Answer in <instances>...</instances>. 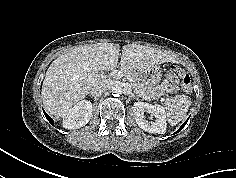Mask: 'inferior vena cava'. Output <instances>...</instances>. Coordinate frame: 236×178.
Wrapping results in <instances>:
<instances>
[{"label":"inferior vena cava","instance_id":"1","mask_svg":"<svg viewBox=\"0 0 236 178\" xmlns=\"http://www.w3.org/2000/svg\"><path fill=\"white\" fill-rule=\"evenodd\" d=\"M110 87V84L107 82L95 84L91 90L90 93L94 96L101 95L104 93L108 88Z\"/></svg>","mask_w":236,"mask_h":178}]
</instances>
